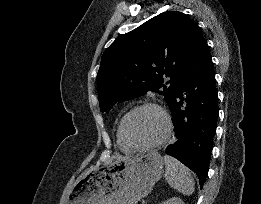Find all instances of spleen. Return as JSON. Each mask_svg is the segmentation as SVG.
Wrapping results in <instances>:
<instances>
[{
  "label": "spleen",
  "instance_id": "1",
  "mask_svg": "<svg viewBox=\"0 0 261 204\" xmlns=\"http://www.w3.org/2000/svg\"><path fill=\"white\" fill-rule=\"evenodd\" d=\"M164 162L166 166L165 179L170 187L183 195H192L195 183L189 170L177 159L167 155L164 156Z\"/></svg>",
  "mask_w": 261,
  "mask_h": 204
}]
</instances>
